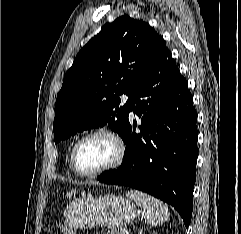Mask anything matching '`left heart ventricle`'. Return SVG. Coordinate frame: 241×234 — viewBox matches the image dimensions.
<instances>
[{"mask_svg":"<svg viewBox=\"0 0 241 234\" xmlns=\"http://www.w3.org/2000/svg\"><path fill=\"white\" fill-rule=\"evenodd\" d=\"M116 155L113 141L104 135L85 140L77 151V165L83 172L95 171L110 163Z\"/></svg>","mask_w":241,"mask_h":234,"instance_id":"b2bd125f","label":"left heart ventricle"}]
</instances>
